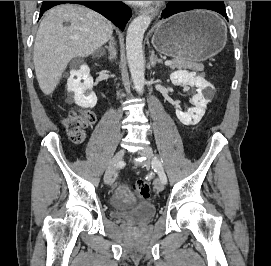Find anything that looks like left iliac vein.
Masks as SVG:
<instances>
[{
    "label": "left iliac vein",
    "mask_w": 271,
    "mask_h": 266,
    "mask_svg": "<svg viewBox=\"0 0 271 266\" xmlns=\"http://www.w3.org/2000/svg\"><path fill=\"white\" fill-rule=\"evenodd\" d=\"M140 154L146 158V163H152L153 161L157 160L155 157L153 150L150 147H145L143 150H141ZM155 187L158 191H163L164 190V183L162 182L161 179H156L155 182Z\"/></svg>",
    "instance_id": "4c4485c4"
}]
</instances>
